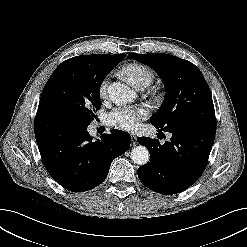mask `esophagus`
Segmentation results:
<instances>
[{
	"instance_id": "obj_1",
	"label": "esophagus",
	"mask_w": 247,
	"mask_h": 247,
	"mask_svg": "<svg viewBox=\"0 0 247 247\" xmlns=\"http://www.w3.org/2000/svg\"><path fill=\"white\" fill-rule=\"evenodd\" d=\"M132 145H137V136L135 134H130Z\"/></svg>"
}]
</instances>
